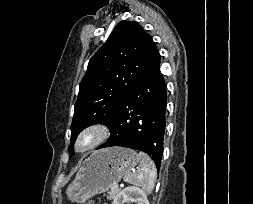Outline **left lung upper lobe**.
Returning a JSON list of instances; mask_svg holds the SVG:
<instances>
[{
	"label": "left lung upper lobe",
	"instance_id": "1",
	"mask_svg": "<svg viewBox=\"0 0 253 204\" xmlns=\"http://www.w3.org/2000/svg\"><path fill=\"white\" fill-rule=\"evenodd\" d=\"M156 45L135 21H121L105 44L90 59L79 84L71 124V146L86 127L102 123L109 126L122 103L146 70Z\"/></svg>",
	"mask_w": 253,
	"mask_h": 204
}]
</instances>
